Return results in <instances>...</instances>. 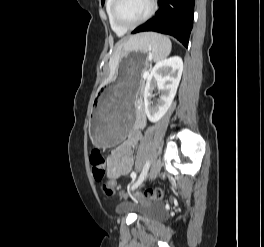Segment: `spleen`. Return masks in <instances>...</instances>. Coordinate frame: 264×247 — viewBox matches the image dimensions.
I'll list each match as a JSON object with an SVG mask.
<instances>
[{
  "mask_svg": "<svg viewBox=\"0 0 264 247\" xmlns=\"http://www.w3.org/2000/svg\"><path fill=\"white\" fill-rule=\"evenodd\" d=\"M131 49L141 52L148 51L154 61H160L170 54L171 41L168 37L157 33H145L133 43Z\"/></svg>",
  "mask_w": 264,
  "mask_h": 247,
  "instance_id": "obj_1",
  "label": "spleen"
}]
</instances>
